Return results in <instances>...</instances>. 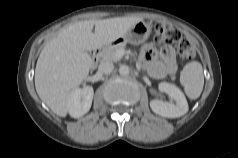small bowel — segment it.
Masks as SVG:
<instances>
[{
	"instance_id": "small-bowel-1",
	"label": "small bowel",
	"mask_w": 238,
	"mask_h": 158,
	"mask_svg": "<svg viewBox=\"0 0 238 158\" xmlns=\"http://www.w3.org/2000/svg\"><path fill=\"white\" fill-rule=\"evenodd\" d=\"M139 61L155 79L172 77L177 72L175 53L171 47H164L157 51L151 44H146L141 51Z\"/></svg>"
}]
</instances>
